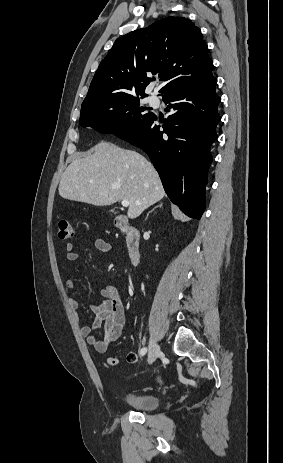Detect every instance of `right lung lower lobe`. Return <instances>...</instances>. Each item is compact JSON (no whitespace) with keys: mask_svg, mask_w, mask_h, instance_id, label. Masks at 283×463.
I'll list each match as a JSON object with an SVG mask.
<instances>
[{"mask_svg":"<svg viewBox=\"0 0 283 463\" xmlns=\"http://www.w3.org/2000/svg\"><path fill=\"white\" fill-rule=\"evenodd\" d=\"M216 84L212 76L167 93L162 99L169 103L165 109L168 118L162 125L152 115L137 130L118 136L149 155L170 200L198 220L205 208V186L212 161L209 148L217 140L216 125L221 119Z\"/></svg>","mask_w":283,"mask_h":463,"instance_id":"obj_1","label":"right lung lower lobe"}]
</instances>
